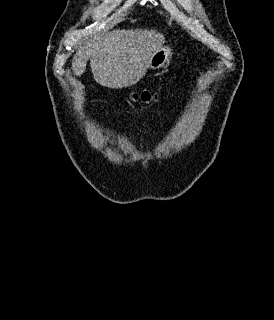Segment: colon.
Here are the masks:
<instances>
[{
    "label": "colon",
    "instance_id": "obj_1",
    "mask_svg": "<svg viewBox=\"0 0 274 320\" xmlns=\"http://www.w3.org/2000/svg\"><path fill=\"white\" fill-rule=\"evenodd\" d=\"M163 98L162 95H159L154 90L150 89H141L134 91L130 94L129 100L131 102L137 103H151V102H157L160 101Z\"/></svg>",
    "mask_w": 274,
    "mask_h": 320
}]
</instances>
